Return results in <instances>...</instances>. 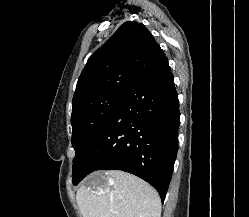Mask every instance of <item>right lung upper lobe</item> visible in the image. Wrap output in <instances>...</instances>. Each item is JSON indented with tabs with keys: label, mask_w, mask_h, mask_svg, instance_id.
<instances>
[{
	"label": "right lung upper lobe",
	"mask_w": 249,
	"mask_h": 217,
	"mask_svg": "<svg viewBox=\"0 0 249 217\" xmlns=\"http://www.w3.org/2000/svg\"><path fill=\"white\" fill-rule=\"evenodd\" d=\"M165 55L143 24L125 22L87 61L72 109L97 96L126 94Z\"/></svg>",
	"instance_id": "1"
}]
</instances>
